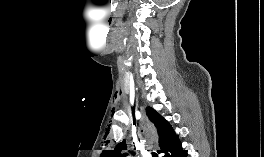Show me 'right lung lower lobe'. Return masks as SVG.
Masks as SVG:
<instances>
[{
  "mask_svg": "<svg viewBox=\"0 0 264 157\" xmlns=\"http://www.w3.org/2000/svg\"><path fill=\"white\" fill-rule=\"evenodd\" d=\"M163 157H188L187 150L182 149L179 139H177L166 151Z\"/></svg>",
  "mask_w": 264,
  "mask_h": 157,
  "instance_id": "98d812e1",
  "label": "right lung lower lobe"
}]
</instances>
